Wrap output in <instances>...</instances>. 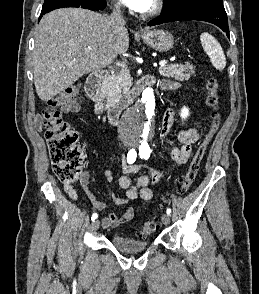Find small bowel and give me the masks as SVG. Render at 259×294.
<instances>
[{
  "instance_id": "obj_1",
  "label": "small bowel",
  "mask_w": 259,
  "mask_h": 294,
  "mask_svg": "<svg viewBox=\"0 0 259 294\" xmlns=\"http://www.w3.org/2000/svg\"><path fill=\"white\" fill-rule=\"evenodd\" d=\"M160 87L163 90H174L179 87V84L169 80H163L160 83ZM62 111L65 113L78 112L80 106L76 102H71L62 106ZM175 118V112L172 108H169L163 115L161 121V143L163 152L167 153L173 161V167L178 168L184 165L189 159L192 151V145L196 143L200 137L199 132L195 128L182 130L177 133L176 136L172 134V125ZM35 127L38 130L42 129L43 119L40 115L35 118ZM175 141L180 144V147L175 145ZM123 175L119 177V186L126 190L124 197H114V202L116 204H126L129 201L140 198L144 201L152 200L154 194L150 188L151 184L158 183L164 176V172L160 170H147L142 172V169L135 165L127 162V158L122 164ZM142 172L139 177L133 181L131 178L132 174ZM104 178L108 182H112L115 179L114 173L111 170H106L103 173ZM89 172L84 171L80 177V184L87 194L90 202L95 209L102 211L106 208V204L103 201L98 200L94 195H92L87 186L89 183ZM64 190L73 200H77L78 195L74 188L68 184L64 183ZM134 217V210L132 208H127L121 215L117 216L114 213H110L108 216L102 219V226L104 228H114L123 224L130 222Z\"/></svg>"
}]
</instances>
